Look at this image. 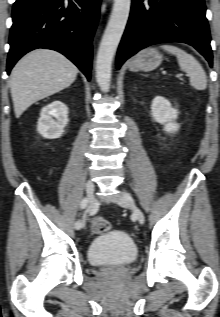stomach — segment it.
Listing matches in <instances>:
<instances>
[{
    "mask_svg": "<svg viewBox=\"0 0 220 317\" xmlns=\"http://www.w3.org/2000/svg\"><path fill=\"white\" fill-rule=\"evenodd\" d=\"M162 62V55L155 48H146L133 57L129 64L131 71H152Z\"/></svg>",
    "mask_w": 220,
    "mask_h": 317,
    "instance_id": "0dacf381",
    "label": "stomach"
}]
</instances>
